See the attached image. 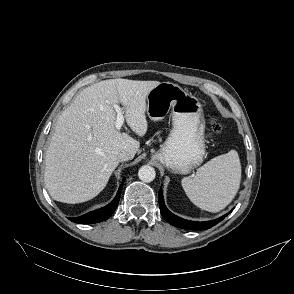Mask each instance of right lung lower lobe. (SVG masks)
Masks as SVG:
<instances>
[{
  "label": "right lung lower lobe",
  "instance_id": "right-lung-lower-lobe-1",
  "mask_svg": "<svg viewBox=\"0 0 294 294\" xmlns=\"http://www.w3.org/2000/svg\"><path fill=\"white\" fill-rule=\"evenodd\" d=\"M123 183H124V180L122 181V184L119 187V190L117 192L115 199L109 205L101 209H98L96 211L90 212L81 217L69 218V219L75 223H80V224H92V223H97V222H101L108 219L110 215L115 211L119 203Z\"/></svg>",
  "mask_w": 294,
  "mask_h": 294
}]
</instances>
